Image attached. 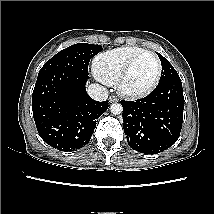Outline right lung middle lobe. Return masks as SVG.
<instances>
[{
	"label": "right lung middle lobe",
	"instance_id": "dd1d6c3e",
	"mask_svg": "<svg viewBox=\"0 0 214 214\" xmlns=\"http://www.w3.org/2000/svg\"><path fill=\"white\" fill-rule=\"evenodd\" d=\"M101 45L87 43L74 44L48 60L38 73V77L54 71H67L88 75L90 59L102 51Z\"/></svg>",
	"mask_w": 214,
	"mask_h": 214
}]
</instances>
